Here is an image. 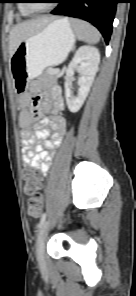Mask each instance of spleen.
Returning <instances> with one entry per match:
<instances>
[{"label": "spleen", "instance_id": "1", "mask_svg": "<svg viewBox=\"0 0 136 296\" xmlns=\"http://www.w3.org/2000/svg\"><path fill=\"white\" fill-rule=\"evenodd\" d=\"M71 25L78 39L90 44H96L99 42V32L89 23L79 19H72Z\"/></svg>", "mask_w": 136, "mask_h": 296}]
</instances>
